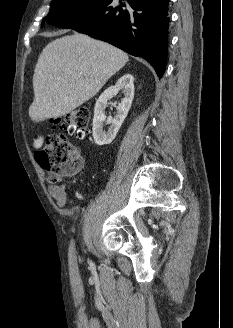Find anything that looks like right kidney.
<instances>
[{
    "label": "right kidney",
    "mask_w": 233,
    "mask_h": 328,
    "mask_svg": "<svg viewBox=\"0 0 233 328\" xmlns=\"http://www.w3.org/2000/svg\"><path fill=\"white\" fill-rule=\"evenodd\" d=\"M134 78L131 74L123 75L114 86L107 88L98 98L94 108L93 118V138L97 145L102 146L110 144L116 137L134 98ZM120 90L124 98L117 106V114L114 118L109 117L106 120L105 108L107 101L116 95ZM111 124L107 132L103 131V123Z\"/></svg>",
    "instance_id": "1"
}]
</instances>
